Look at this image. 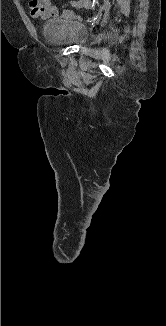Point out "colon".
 I'll return each instance as SVG.
<instances>
[{"instance_id": "obj_1", "label": "colon", "mask_w": 166, "mask_h": 326, "mask_svg": "<svg viewBox=\"0 0 166 326\" xmlns=\"http://www.w3.org/2000/svg\"><path fill=\"white\" fill-rule=\"evenodd\" d=\"M66 7H74V8H85L88 9L90 4L88 0H79L78 2H69Z\"/></svg>"}]
</instances>
